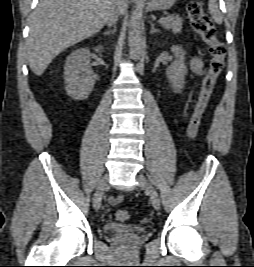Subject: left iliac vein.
<instances>
[{
    "label": "left iliac vein",
    "instance_id": "obj_1",
    "mask_svg": "<svg viewBox=\"0 0 254 267\" xmlns=\"http://www.w3.org/2000/svg\"><path fill=\"white\" fill-rule=\"evenodd\" d=\"M136 179L138 182V186L140 188L144 189L149 194L152 205L154 206V208L156 210H159L160 198L158 196L156 189L152 186V184L148 181V179L144 175L139 174V175H137Z\"/></svg>",
    "mask_w": 254,
    "mask_h": 267
}]
</instances>
